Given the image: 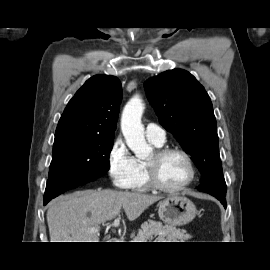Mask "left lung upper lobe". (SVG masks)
<instances>
[{"label": "left lung upper lobe", "instance_id": "left-lung-upper-lobe-1", "mask_svg": "<svg viewBox=\"0 0 270 270\" xmlns=\"http://www.w3.org/2000/svg\"><path fill=\"white\" fill-rule=\"evenodd\" d=\"M145 87L160 124L191 154L202 180L222 175L216 119L204 87L182 69L152 77Z\"/></svg>", "mask_w": 270, "mask_h": 270}]
</instances>
